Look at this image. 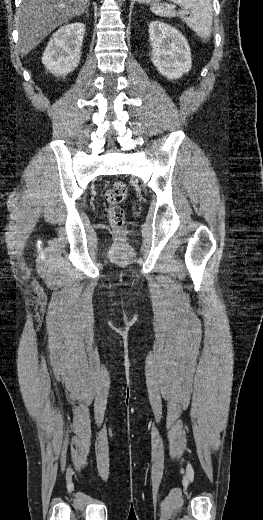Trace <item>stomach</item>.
Listing matches in <instances>:
<instances>
[{"label": "stomach", "mask_w": 263, "mask_h": 520, "mask_svg": "<svg viewBox=\"0 0 263 520\" xmlns=\"http://www.w3.org/2000/svg\"><path fill=\"white\" fill-rule=\"evenodd\" d=\"M139 3H155V2H158L159 0H137Z\"/></svg>", "instance_id": "stomach-1"}]
</instances>
